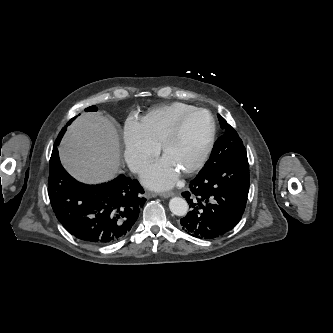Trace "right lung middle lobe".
<instances>
[{
  "label": "right lung middle lobe",
  "mask_w": 333,
  "mask_h": 333,
  "mask_svg": "<svg viewBox=\"0 0 333 333\" xmlns=\"http://www.w3.org/2000/svg\"><path fill=\"white\" fill-rule=\"evenodd\" d=\"M91 108H92V107H89V108H87V109H86V111H91ZM74 119H75V117H74V118H72V119L69 121V123H68V124H70V123H71V122H72Z\"/></svg>",
  "instance_id": "right-lung-middle-lobe-1"
}]
</instances>
